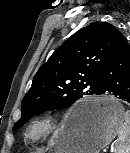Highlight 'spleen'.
Listing matches in <instances>:
<instances>
[{
	"label": "spleen",
	"instance_id": "obj_1",
	"mask_svg": "<svg viewBox=\"0 0 130 153\" xmlns=\"http://www.w3.org/2000/svg\"><path fill=\"white\" fill-rule=\"evenodd\" d=\"M115 153H130V111L125 112L124 122L118 128Z\"/></svg>",
	"mask_w": 130,
	"mask_h": 153
}]
</instances>
